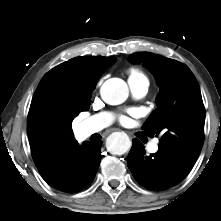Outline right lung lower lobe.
Wrapping results in <instances>:
<instances>
[{"instance_id":"obj_1","label":"right lung lower lobe","mask_w":221,"mask_h":221,"mask_svg":"<svg viewBox=\"0 0 221 221\" xmlns=\"http://www.w3.org/2000/svg\"><path fill=\"white\" fill-rule=\"evenodd\" d=\"M102 141L74 143L53 163L39 170L43 179L53 188L78 192L87 187L98 170Z\"/></svg>"}]
</instances>
